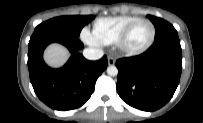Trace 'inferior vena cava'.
Listing matches in <instances>:
<instances>
[{"instance_id": "1", "label": "inferior vena cava", "mask_w": 203, "mask_h": 123, "mask_svg": "<svg viewBox=\"0 0 203 123\" xmlns=\"http://www.w3.org/2000/svg\"><path fill=\"white\" fill-rule=\"evenodd\" d=\"M104 55L103 50L95 48H86L83 50V56L88 60H98Z\"/></svg>"}]
</instances>
